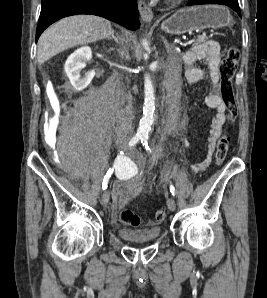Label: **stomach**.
Wrapping results in <instances>:
<instances>
[{
	"instance_id": "1",
	"label": "stomach",
	"mask_w": 267,
	"mask_h": 298,
	"mask_svg": "<svg viewBox=\"0 0 267 298\" xmlns=\"http://www.w3.org/2000/svg\"><path fill=\"white\" fill-rule=\"evenodd\" d=\"M232 24L228 9L221 5H198L178 10L165 20L161 29L172 35L206 28L218 29Z\"/></svg>"
}]
</instances>
